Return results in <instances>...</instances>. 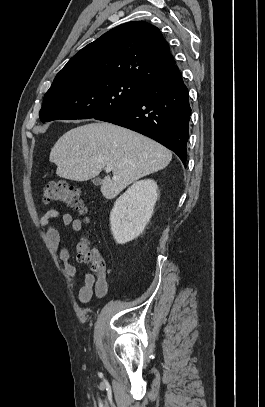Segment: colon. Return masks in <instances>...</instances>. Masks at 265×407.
<instances>
[{
	"mask_svg": "<svg viewBox=\"0 0 265 407\" xmlns=\"http://www.w3.org/2000/svg\"><path fill=\"white\" fill-rule=\"evenodd\" d=\"M43 201L46 204L52 202H64L81 212L86 211L85 199L82 191L64 182L47 183L43 188ZM78 258L91 263L96 269L105 267V262L101 256L85 242L78 245Z\"/></svg>",
	"mask_w": 265,
	"mask_h": 407,
	"instance_id": "obj_1",
	"label": "colon"
}]
</instances>
